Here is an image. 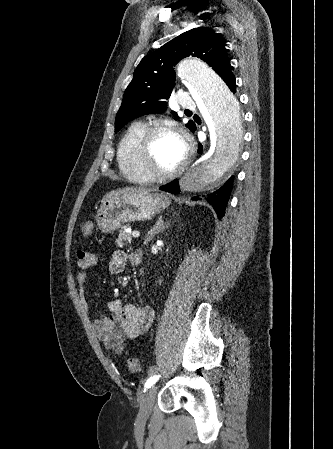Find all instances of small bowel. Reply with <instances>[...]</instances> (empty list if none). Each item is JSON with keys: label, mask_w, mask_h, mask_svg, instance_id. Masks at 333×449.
<instances>
[{"label": "small bowel", "mask_w": 333, "mask_h": 449, "mask_svg": "<svg viewBox=\"0 0 333 449\" xmlns=\"http://www.w3.org/2000/svg\"><path fill=\"white\" fill-rule=\"evenodd\" d=\"M137 254L115 251L108 264L111 274H120L128 264H135ZM76 281L79 299L84 309L89 311L85 286L88 269L97 265L94 254L86 251L77 253ZM109 315L101 314L92 326L102 342L116 354L122 353L128 343L145 333L154 319V309L147 305H135L116 299L108 303Z\"/></svg>", "instance_id": "1"}]
</instances>
